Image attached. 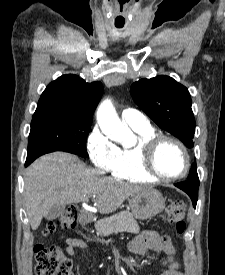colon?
Listing matches in <instances>:
<instances>
[{"label":"colon","instance_id":"1","mask_svg":"<svg viewBox=\"0 0 225 275\" xmlns=\"http://www.w3.org/2000/svg\"><path fill=\"white\" fill-rule=\"evenodd\" d=\"M167 220L173 225L174 232L182 235L186 230L185 204L181 200L172 201L166 210ZM79 216V209L76 206H69L64 213L56 220L51 221L45 228L44 233L49 234L58 226L64 229L74 228ZM165 251L172 256L174 251L169 238L165 239ZM35 275H72L71 261L56 246L35 247Z\"/></svg>","mask_w":225,"mask_h":275}]
</instances>
